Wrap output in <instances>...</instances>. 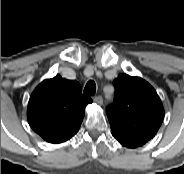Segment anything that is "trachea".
<instances>
[{
    "mask_svg": "<svg viewBox=\"0 0 184 174\" xmlns=\"http://www.w3.org/2000/svg\"><path fill=\"white\" fill-rule=\"evenodd\" d=\"M96 92V84L94 81L87 82L85 88H84V94L93 96Z\"/></svg>",
    "mask_w": 184,
    "mask_h": 174,
    "instance_id": "3493384b",
    "label": "trachea"
}]
</instances>
